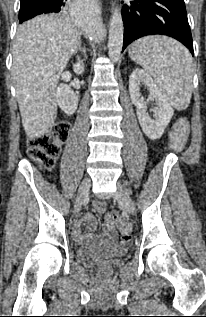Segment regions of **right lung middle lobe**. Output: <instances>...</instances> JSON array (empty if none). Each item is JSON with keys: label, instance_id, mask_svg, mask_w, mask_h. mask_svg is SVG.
Returning a JSON list of instances; mask_svg holds the SVG:
<instances>
[{"label": "right lung middle lobe", "instance_id": "obj_1", "mask_svg": "<svg viewBox=\"0 0 206 317\" xmlns=\"http://www.w3.org/2000/svg\"><path fill=\"white\" fill-rule=\"evenodd\" d=\"M55 0H20L19 23L40 15L43 13H58L63 11L67 6L69 0L65 5L61 6L51 5Z\"/></svg>", "mask_w": 206, "mask_h": 317}]
</instances>
